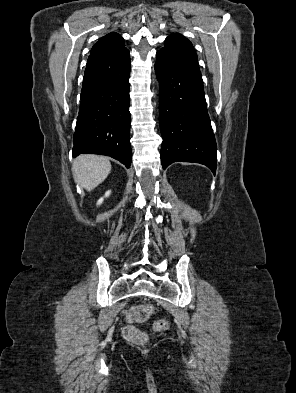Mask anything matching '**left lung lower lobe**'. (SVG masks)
Here are the masks:
<instances>
[{
    "label": "left lung lower lobe",
    "instance_id": "obj_1",
    "mask_svg": "<svg viewBox=\"0 0 296 393\" xmlns=\"http://www.w3.org/2000/svg\"><path fill=\"white\" fill-rule=\"evenodd\" d=\"M155 71L160 82L163 169L183 161L204 164L215 173L217 146L198 62L168 58L157 52Z\"/></svg>",
    "mask_w": 296,
    "mask_h": 393
}]
</instances>
